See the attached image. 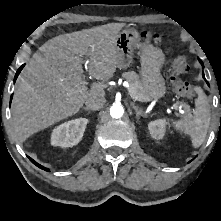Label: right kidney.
<instances>
[{
    "instance_id": "right-kidney-1",
    "label": "right kidney",
    "mask_w": 221,
    "mask_h": 221,
    "mask_svg": "<svg viewBox=\"0 0 221 221\" xmlns=\"http://www.w3.org/2000/svg\"><path fill=\"white\" fill-rule=\"evenodd\" d=\"M87 123L88 119L78 118L55 127L51 134V145L72 147L78 144L83 137Z\"/></svg>"
}]
</instances>
